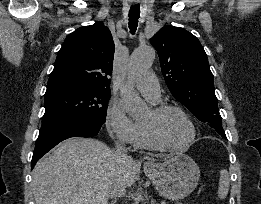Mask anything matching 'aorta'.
Instances as JSON below:
<instances>
[{
    "label": "aorta",
    "instance_id": "762f6f07",
    "mask_svg": "<svg viewBox=\"0 0 261 204\" xmlns=\"http://www.w3.org/2000/svg\"><path fill=\"white\" fill-rule=\"evenodd\" d=\"M155 58V51L152 47L146 46L136 49L128 64V83L121 89V99L128 115L134 119L143 117L146 114L147 106L144 100L134 89V80L145 74L151 67Z\"/></svg>",
    "mask_w": 261,
    "mask_h": 204
}]
</instances>
